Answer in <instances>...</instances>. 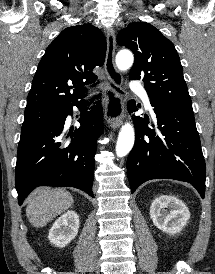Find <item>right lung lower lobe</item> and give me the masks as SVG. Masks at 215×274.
Here are the masks:
<instances>
[{
    "mask_svg": "<svg viewBox=\"0 0 215 274\" xmlns=\"http://www.w3.org/2000/svg\"><path fill=\"white\" fill-rule=\"evenodd\" d=\"M96 103L86 111L83 102L77 101L20 137L15 169L19 205L37 186L75 187L94 198V156L103 132V111ZM74 105L83 112L81 126L67 132L65 120Z\"/></svg>",
    "mask_w": 215,
    "mask_h": 274,
    "instance_id": "right-lung-lower-lobe-1",
    "label": "right lung lower lobe"
}]
</instances>
